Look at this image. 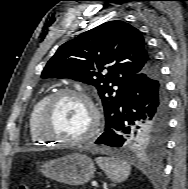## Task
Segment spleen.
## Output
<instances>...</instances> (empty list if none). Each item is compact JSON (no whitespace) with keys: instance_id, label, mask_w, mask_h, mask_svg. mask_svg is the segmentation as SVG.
<instances>
[{"instance_id":"1","label":"spleen","mask_w":188,"mask_h":189,"mask_svg":"<svg viewBox=\"0 0 188 189\" xmlns=\"http://www.w3.org/2000/svg\"><path fill=\"white\" fill-rule=\"evenodd\" d=\"M96 163L113 182H123L130 175L131 166L125 161L112 157H98Z\"/></svg>"}]
</instances>
